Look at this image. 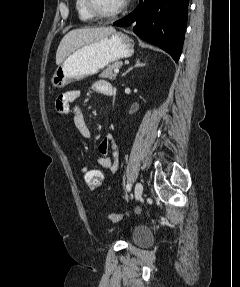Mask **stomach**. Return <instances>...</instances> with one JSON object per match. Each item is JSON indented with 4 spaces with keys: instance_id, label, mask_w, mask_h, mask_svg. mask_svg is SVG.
<instances>
[{
    "instance_id": "1",
    "label": "stomach",
    "mask_w": 240,
    "mask_h": 287,
    "mask_svg": "<svg viewBox=\"0 0 240 287\" xmlns=\"http://www.w3.org/2000/svg\"><path fill=\"white\" fill-rule=\"evenodd\" d=\"M134 53L133 40L122 32H113L102 39L83 45L69 54L51 79L55 88H63L98 73L109 64Z\"/></svg>"
}]
</instances>
